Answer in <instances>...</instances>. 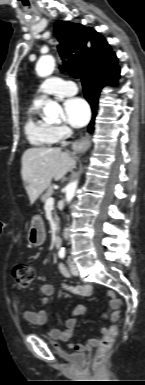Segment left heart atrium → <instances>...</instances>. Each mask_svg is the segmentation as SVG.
I'll return each mask as SVG.
<instances>
[{
	"mask_svg": "<svg viewBox=\"0 0 145 385\" xmlns=\"http://www.w3.org/2000/svg\"><path fill=\"white\" fill-rule=\"evenodd\" d=\"M66 121L73 127L79 128L87 124L90 118V108L80 97H71L64 102Z\"/></svg>",
	"mask_w": 145,
	"mask_h": 385,
	"instance_id": "1",
	"label": "left heart atrium"
}]
</instances>
